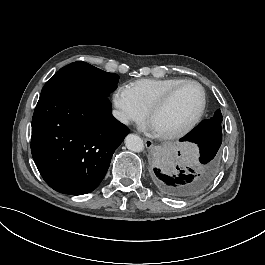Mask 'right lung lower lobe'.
<instances>
[{"label":"right lung lower lobe","mask_w":265,"mask_h":265,"mask_svg":"<svg viewBox=\"0 0 265 265\" xmlns=\"http://www.w3.org/2000/svg\"><path fill=\"white\" fill-rule=\"evenodd\" d=\"M129 129L99 95L41 93L32 118L31 151L46 183L71 195L93 191Z\"/></svg>","instance_id":"98d812e1"}]
</instances>
